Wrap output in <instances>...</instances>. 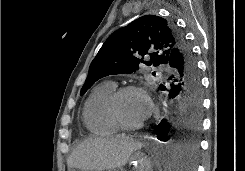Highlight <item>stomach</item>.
Here are the masks:
<instances>
[{
  "instance_id": "1",
  "label": "stomach",
  "mask_w": 245,
  "mask_h": 171,
  "mask_svg": "<svg viewBox=\"0 0 245 171\" xmlns=\"http://www.w3.org/2000/svg\"><path fill=\"white\" fill-rule=\"evenodd\" d=\"M132 162L135 164L136 171H153L154 162L148 158L142 151H137L132 156ZM69 171H77L70 169ZM119 171V170H114Z\"/></svg>"
}]
</instances>
